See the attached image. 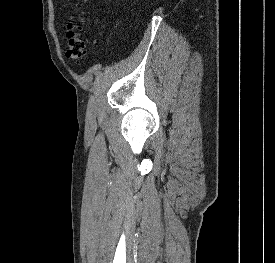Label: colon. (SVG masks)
I'll return each mask as SVG.
<instances>
[{"mask_svg": "<svg viewBox=\"0 0 275 263\" xmlns=\"http://www.w3.org/2000/svg\"><path fill=\"white\" fill-rule=\"evenodd\" d=\"M67 50L66 56L69 60L76 64L82 63L86 50L87 44L83 38V25L81 18H74L67 26Z\"/></svg>", "mask_w": 275, "mask_h": 263, "instance_id": "1", "label": "colon"}]
</instances>
